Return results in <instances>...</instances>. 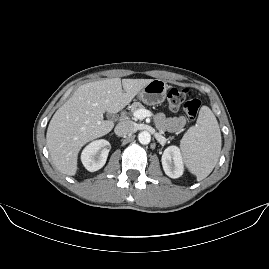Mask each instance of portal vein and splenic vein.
I'll return each instance as SVG.
<instances>
[{"mask_svg": "<svg viewBox=\"0 0 269 269\" xmlns=\"http://www.w3.org/2000/svg\"><path fill=\"white\" fill-rule=\"evenodd\" d=\"M135 117H137L138 119H144L146 117H149L151 116V112L146 110V109H140V110H137L135 113H134Z\"/></svg>", "mask_w": 269, "mask_h": 269, "instance_id": "1", "label": "portal vein and splenic vein"}]
</instances>
